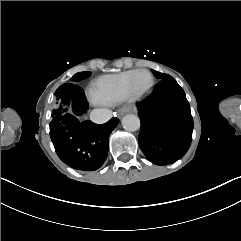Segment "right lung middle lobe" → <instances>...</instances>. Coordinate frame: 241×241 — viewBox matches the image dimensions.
Listing matches in <instances>:
<instances>
[{
  "label": "right lung middle lobe",
  "mask_w": 241,
  "mask_h": 241,
  "mask_svg": "<svg viewBox=\"0 0 241 241\" xmlns=\"http://www.w3.org/2000/svg\"><path fill=\"white\" fill-rule=\"evenodd\" d=\"M89 75L90 72L77 73L71 78L70 83L63 84L56 90L52 101V118H56L70 112V100L68 97L70 84H75V82L81 81Z\"/></svg>",
  "instance_id": "dd1d6c3e"
}]
</instances>
